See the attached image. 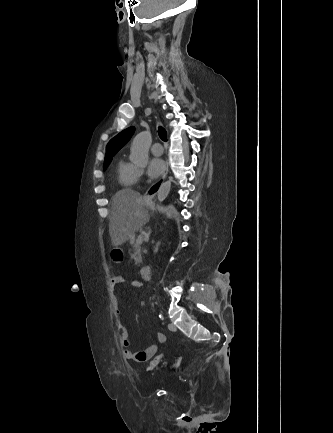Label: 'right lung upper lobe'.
Instances as JSON below:
<instances>
[{"label": "right lung upper lobe", "mask_w": 333, "mask_h": 433, "mask_svg": "<svg viewBox=\"0 0 333 433\" xmlns=\"http://www.w3.org/2000/svg\"><path fill=\"white\" fill-rule=\"evenodd\" d=\"M135 128L129 127L116 135L107 145L104 165H109L113 156L130 140Z\"/></svg>", "instance_id": "1"}]
</instances>
